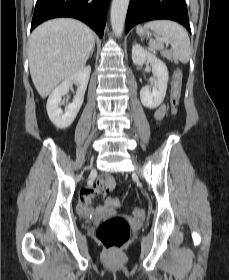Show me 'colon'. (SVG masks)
Segmentation results:
<instances>
[{
  "label": "colon",
  "mask_w": 229,
  "mask_h": 280,
  "mask_svg": "<svg viewBox=\"0 0 229 280\" xmlns=\"http://www.w3.org/2000/svg\"><path fill=\"white\" fill-rule=\"evenodd\" d=\"M182 88V74L176 71L173 76L172 91L170 97L171 112L176 115L178 112ZM103 189L115 187L116 180L110 174H103L99 181ZM119 205V200L114 201ZM136 216H143V211L139 208L134 210ZM96 237L99 242L110 252H118L126 244L130 237V225L127 219L120 216H113L104 220L97 228Z\"/></svg>",
  "instance_id": "5ec220e1"
}]
</instances>
